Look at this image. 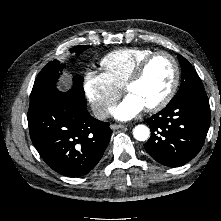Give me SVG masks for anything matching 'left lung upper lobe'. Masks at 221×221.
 Masks as SVG:
<instances>
[{"label": "left lung upper lobe", "mask_w": 221, "mask_h": 221, "mask_svg": "<svg viewBox=\"0 0 221 221\" xmlns=\"http://www.w3.org/2000/svg\"><path fill=\"white\" fill-rule=\"evenodd\" d=\"M178 59L182 69V82L178 93L170 103L188 96L206 95L202 81L193 66L181 55H178Z\"/></svg>", "instance_id": "obj_1"}]
</instances>
